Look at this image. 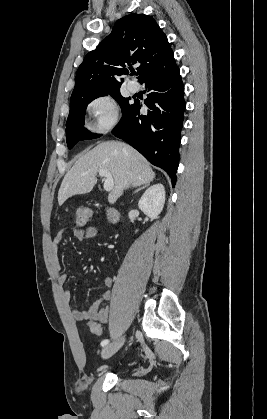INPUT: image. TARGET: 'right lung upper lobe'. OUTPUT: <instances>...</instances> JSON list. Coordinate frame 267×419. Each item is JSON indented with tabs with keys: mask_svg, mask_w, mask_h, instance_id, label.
<instances>
[{
	"mask_svg": "<svg viewBox=\"0 0 267 419\" xmlns=\"http://www.w3.org/2000/svg\"><path fill=\"white\" fill-rule=\"evenodd\" d=\"M172 62L173 51L156 21L145 14H129L119 19L110 35L85 56L76 73L71 101L120 90V76L127 75V68L133 64H140V82L153 70Z\"/></svg>",
	"mask_w": 267,
	"mask_h": 419,
	"instance_id": "obj_1",
	"label": "right lung upper lobe"
}]
</instances>
